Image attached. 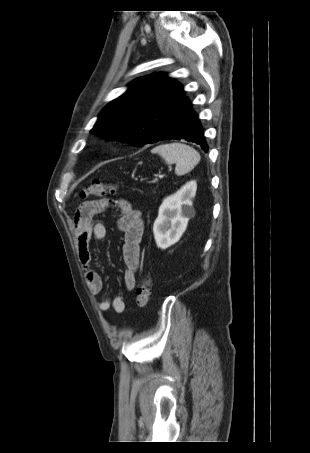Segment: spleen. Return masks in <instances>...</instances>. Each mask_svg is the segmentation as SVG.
Wrapping results in <instances>:
<instances>
[{"instance_id":"3e777b00","label":"spleen","mask_w":310,"mask_h":453,"mask_svg":"<svg viewBox=\"0 0 310 453\" xmlns=\"http://www.w3.org/2000/svg\"><path fill=\"white\" fill-rule=\"evenodd\" d=\"M151 152L159 154L166 164L175 163V173L178 176L190 172L201 159L199 152L193 147L178 142L159 145Z\"/></svg>"}]
</instances>
